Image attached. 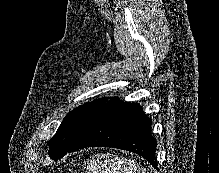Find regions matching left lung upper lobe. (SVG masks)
Instances as JSON below:
<instances>
[{
    "instance_id": "obj_1",
    "label": "left lung upper lobe",
    "mask_w": 219,
    "mask_h": 173,
    "mask_svg": "<svg viewBox=\"0 0 219 173\" xmlns=\"http://www.w3.org/2000/svg\"><path fill=\"white\" fill-rule=\"evenodd\" d=\"M106 99L88 102L70 111L59 126L56 135L48 141L49 155L57 160L78 138Z\"/></svg>"
}]
</instances>
